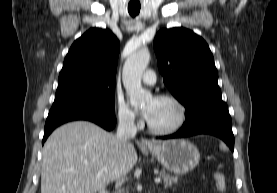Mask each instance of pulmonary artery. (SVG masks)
Returning a JSON list of instances; mask_svg holds the SVG:
<instances>
[{
  "instance_id": "1",
  "label": "pulmonary artery",
  "mask_w": 277,
  "mask_h": 193,
  "mask_svg": "<svg viewBox=\"0 0 277 193\" xmlns=\"http://www.w3.org/2000/svg\"><path fill=\"white\" fill-rule=\"evenodd\" d=\"M142 81L145 84L153 85L156 82V74L153 70H146L142 75Z\"/></svg>"
}]
</instances>
